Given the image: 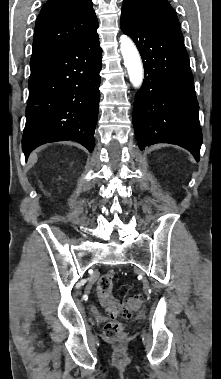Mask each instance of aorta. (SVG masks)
<instances>
[{
	"label": "aorta",
	"mask_w": 221,
	"mask_h": 379,
	"mask_svg": "<svg viewBox=\"0 0 221 379\" xmlns=\"http://www.w3.org/2000/svg\"><path fill=\"white\" fill-rule=\"evenodd\" d=\"M120 50L127 68L130 82L136 88L142 85L143 66L139 52L133 41L126 35L120 37Z\"/></svg>",
	"instance_id": "762f6f07"
}]
</instances>
